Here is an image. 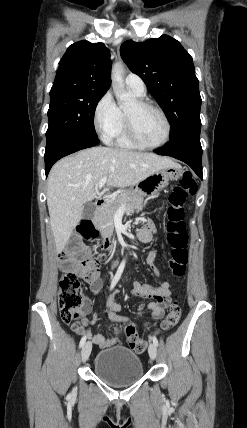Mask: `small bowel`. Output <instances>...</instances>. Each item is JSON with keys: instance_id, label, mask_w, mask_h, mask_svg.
I'll return each instance as SVG.
<instances>
[{"instance_id": "1", "label": "small bowel", "mask_w": 247, "mask_h": 428, "mask_svg": "<svg viewBox=\"0 0 247 428\" xmlns=\"http://www.w3.org/2000/svg\"><path fill=\"white\" fill-rule=\"evenodd\" d=\"M137 237L142 242H148L151 238L150 227L148 226V227H145L143 229H140L137 232ZM156 256H157V251L152 250L149 252L147 259H146L147 265L150 268H152L154 271H157V269L154 266ZM77 271H78L79 275L84 280L88 281L86 271H85L83 265L77 266ZM88 282L90 283L92 292L94 294H98L101 290V287H102V279L99 277V275H98L96 280L88 281ZM115 292H117V291H115ZM171 293H172V288H171V285L168 281L162 282L157 287H153V286H150L147 284L136 283L135 284V290H134L135 296L143 297V298H150L153 300V302L156 301L158 298H161V299H164L165 301H168V303H169ZM106 306H107V309L109 312L108 313L109 318L112 321L118 322V323H124L127 325L128 324L134 325L133 323L130 322V319L128 317L118 315V312L121 311V305L118 304L117 302H115L112 296L107 298ZM147 307L150 309L149 304L147 305ZM90 311H91V304L89 302H87L86 303L85 315L90 313ZM86 324H87V320L85 318H83L81 323L74 324L71 327L76 333L81 334V333H83ZM91 339L95 344H97L101 348L109 347L114 343V340L106 339L100 334H96V335L91 336Z\"/></svg>"}]
</instances>
